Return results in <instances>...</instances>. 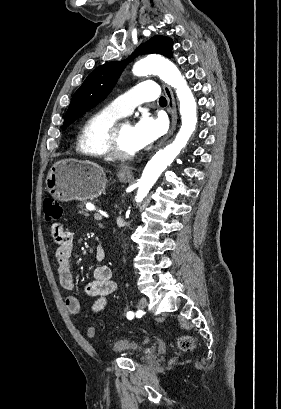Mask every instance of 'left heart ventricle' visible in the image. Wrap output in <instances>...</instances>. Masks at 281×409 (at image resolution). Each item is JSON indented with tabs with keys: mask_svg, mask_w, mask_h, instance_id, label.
<instances>
[{
	"mask_svg": "<svg viewBox=\"0 0 281 409\" xmlns=\"http://www.w3.org/2000/svg\"><path fill=\"white\" fill-rule=\"evenodd\" d=\"M134 126L131 124L123 125L117 136V146L123 152H134L137 151L135 140H134Z\"/></svg>",
	"mask_w": 281,
	"mask_h": 409,
	"instance_id": "1",
	"label": "left heart ventricle"
}]
</instances>
